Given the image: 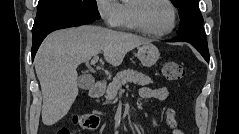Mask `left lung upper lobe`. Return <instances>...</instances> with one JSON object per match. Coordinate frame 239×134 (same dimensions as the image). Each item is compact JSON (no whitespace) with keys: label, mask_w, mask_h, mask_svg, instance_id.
<instances>
[{"label":"left lung upper lobe","mask_w":239,"mask_h":134,"mask_svg":"<svg viewBox=\"0 0 239 134\" xmlns=\"http://www.w3.org/2000/svg\"><path fill=\"white\" fill-rule=\"evenodd\" d=\"M179 9V35L194 34L204 36L203 17L199 9V0H171Z\"/></svg>","instance_id":"obj_1"}]
</instances>
